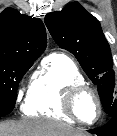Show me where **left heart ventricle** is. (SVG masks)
Masks as SVG:
<instances>
[{"label":"left heart ventricle","instance_id":"obj_1","mask_svg":"<svg viewBox=\"0 0 117 136\" xmlns=\"http://www.w3.org/2000/svg\"><path fill=\"white\" fill-rule=\"evenodd\" d=\"M77 112L85 121H93L97 116V105L90 94L81 96L77 102Z\"/></svg>","mask_w":117,"mask_h":136}]
</instances>
